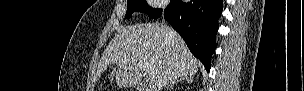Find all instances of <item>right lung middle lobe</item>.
<instances>
[{
  "instance_id": "obj_1",
  "label": "right lung middle lobe",
  "mask_w": 304,
  "mask_h": 91,
  "mask_svg": "<svg viewBox=\"0 0 304 91\" xmlns=\"http://www.w3.org/2000/svg\"><path fill=\"white\" fill-rule=\"evenodd\" d=\"M133 12H142L156 19L161 16L162 9H153L148 6L146 0H127L126 18H130Z\"/></svg>"
}]
</instances>
